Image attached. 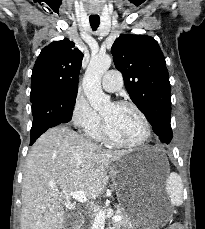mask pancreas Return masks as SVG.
I'll return each mask as SVG.
<instances>
[{"label":"pancreas","mask_w":205,"mask_h":229,"mask_svg":"<svg viewBox=\"0 0 205 229\" xmlns=\"http://www.w3.org/2000/svg\"><path fill=\"white\" fill-rule=\"evenodd\" d=\"M117 215L121 216L120 221H114L113 222V228L112 229H131V222L127 219L125 213L123 212H118Z\"/></svg>","instance_id":"obj_1"}]
</instances>
